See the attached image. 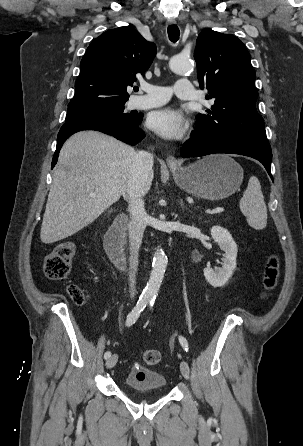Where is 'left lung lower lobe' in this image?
I'll use <instances>...</instances> for the list:
<instances>
[{"label":"left lung lower lobe","mask_w":303,"mask_h":446,"mask_svg":"<svg viewBox=\"0 0 303 446\" xmlns=\"http://www.w3.org/2000/svg\"><path fill=\"white\" fill-rule=\"evenodd\" d=\"M191 139L181 148V156L200 157L215 153H230L249 156L260 161L271 175V147L268 141L236 138L229 134L212 135L204 131H195Z\"/></svg>","instance_id":"left-lung-lower-lobe-1"}]
</instances>
